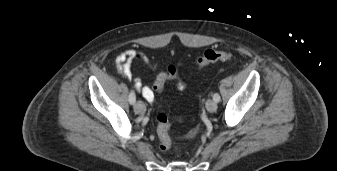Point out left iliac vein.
<instances>
[{
    "label": "left iliac vein",
    "mask_w": 337,
    "mask_h": 171,
    "mask_svg": "<svg viewBox=\"0 0 337 171\" xmlns=\"http://www.w3.org/2000/svg\"><path fill=\"white\" fill-rule=\"evenodd\" d=\"M206 109L209 112H215L217 110V103L214 100L208 99L206 102Z\"/></svg>",
    "instance_id": "left-iliac-vein-1"
}]
</instances>
